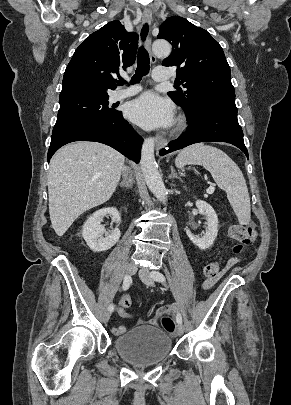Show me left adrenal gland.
<instances>
[{
  "instance_id": "a2214340",
  "label": "left adrenal gland",
  "mask_w": 291,
  "mask_h": 405,
  "mask_svg": "<svg viewBox=\"0 0 291 405\" xmlns=\"http://www.w3.org/2000/svg\"><path fill=\"white\" fill-rule=\"evenodd\" d=\"M169 178H177L179 180H181V178L177 175V173L175 172V169L173 168V166H171V175L169 176Z\"/></svg>"
}]
</instances>
